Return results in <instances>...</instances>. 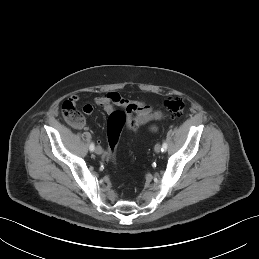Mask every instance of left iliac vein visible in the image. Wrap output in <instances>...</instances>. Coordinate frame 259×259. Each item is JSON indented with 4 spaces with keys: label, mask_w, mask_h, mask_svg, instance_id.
<instances>
[{
    "label": "left iliac vein",
    "mask_w": 259,
    "mask_h": 259,
    "mask_svg": "<svg viewBox=\"0 0 259 259\" xmlns=\"http://www.w3.org/2000/svg\"><path fill=\"white\" fill-rule=\"evenodd\" d=\"M154 151L156 153H160L161 152V145L160 144H156L155 147H154Z\"/></svg>",
    "instance_id": "1"
}]
</instances>
